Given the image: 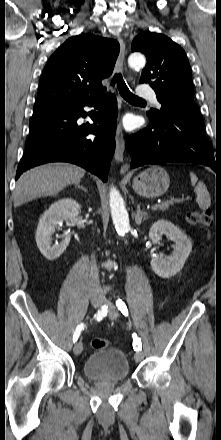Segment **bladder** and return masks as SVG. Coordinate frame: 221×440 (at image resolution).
<instances>
[{
  "label": "bladder",
  "instance_id": "31cf9c89",
  "mask_svg": "<svg viewBox=\"0 0 221 440\" xmlns=\"http://www.w3.org/2000/svg\"><path fill=\"white\" fill-rule=\"evenodd\" d=\"M83 373L98 382H121L129 375V362L120 349H101L86 359Z\"/></svg>",
  "mask_w": 221,
  "mask_h": 440
}]
</instances>
